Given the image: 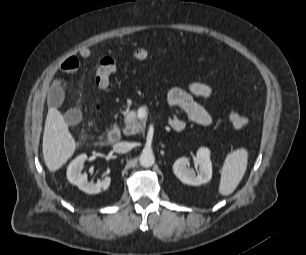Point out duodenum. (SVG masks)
Returning <instances> with one entry per match:
<instances>
[{"label": "duodenum", "mask_w": 306, "mask_h": 255, "mask_svg": "<svg viewBox=\"0 0 306 255\" xmlns=\"http://www.w3.org/2000/svg\"><path fill=\"white\" fill-rule=\"evenodd\" d=\"M121 138V132L118 128H112L111 130H109L108 134H107V142L108 143H115L117 141H119Z\"/></svg>", "instance_id": "1"}]
</instances>
